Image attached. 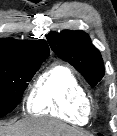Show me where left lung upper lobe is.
<instances>
[{
    "label": "left lung upper lobe",
    "instance_id": "5c2ea615",
    "mask_svg": "<svg viewBox=\"0 0 117 136\" xmlns=\"http://www.w3.org/2000/svg\"><path fill=\"white\" fill-rule=\"evenodd\" d=\"M52 50L74 66L91 86H96L105 74L103 59L89 36L83 31L52 32L47 37Z\"/></svg>",
    "mask_w": 117,
    "mask_h": 136
}]
</instances>
